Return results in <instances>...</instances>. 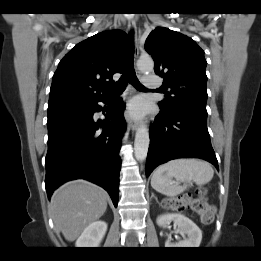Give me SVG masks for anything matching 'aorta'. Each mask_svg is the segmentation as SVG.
Listing matches in <instances>:
<instances>
[{"label":"aorta","mask_w":261,"mask_h":261,"mask_svg":"<svg viewBox=\"0 0 261 261\" xmlns=\"http://www.w3.org/2000/svg\"><path fill=\"white\" fill-rule=\"evenodd\" d=\"M138 69L145 73L151 72L154 68V62L151 57H140L137 61ZM150 138L146 126H140L135 134L134 154L138 161H144L147 157Z\"/></svg>","instance_id":"aorta-1"}]
</instances>
